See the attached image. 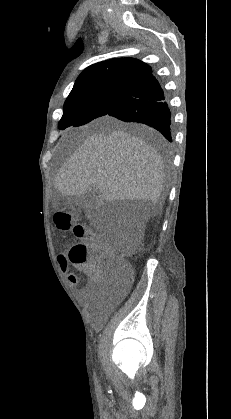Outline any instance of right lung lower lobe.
Segmentation results:
<instances>
[{"instance_id":"obj_1","label":"right lung lower lobe","mask_w":231,"mask_h":419,"mask_svg":"<svg viewBox=\"0 0 231 419\" xmlns=\"http://www.w3.org/2000/svg\"><path fill=\"white\" fill-rule=\"evenodd\" d=\"M107 115L126 122H138L158 130L172 142V116L162 88L150 73Z\"/></svg>"}]
</instances>
